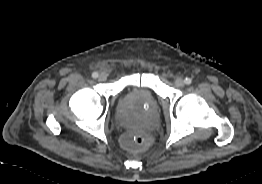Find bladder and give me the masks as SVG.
<instances>
[{"label":"bladder","mask_w":262,"mask_h":184,"mask_svg":"<svg viewBox=\"0 0 262 184\" xmlns=\"http://www.w3.org/2000/svg\"><path fill=\"white\" fill-rule=\"evenodd\" d=\"M132 92H133L132 89L129 90V91L127 92V95H129V94L132 93ZM146 93H147V95H148V98H149L150 102H156V97H155V94H154V92H153L152 90L147 89V90H146ZM118 121H119V123H120L122 126H124V127H126V128H129V129L138 126V122H137L136 120H134V119H132V118L124 115V114L121 113V112L118 114Z\"/></svg>","instance_id":"obj_1"}]
</instances>
